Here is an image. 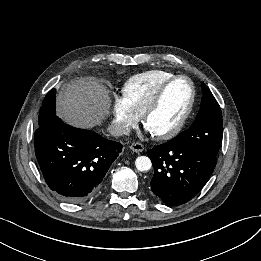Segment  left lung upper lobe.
Segmentation results:
<instances>
[{
  "instance_id": "left-lung-upper-lobe-1",
  "label": "left lung upper lobe",
  "mask_w": 261,
  "mask_h": 261,
  "mask_svg": "<svg viewBox=\"0 0 261 261\" xmlns=\"http://www.w3.org/2000/svg\"><path fill=\"white\" fill-rule=\"evenodd\" d=\"M203 97L200 111L191 127L177 137H184L185 142L215 155L222 142V113L220 106L208 87L202 84Z\"/></svg>"
}]
</instances>
